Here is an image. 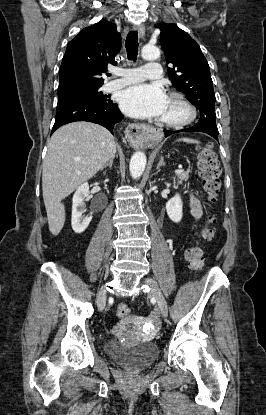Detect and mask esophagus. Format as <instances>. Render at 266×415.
I'll return each mask as SVG.
<instances>
[{
  "label": "esophagus",
  "instance_id": "34e87169",
  "mask_svg": "<svg viewBox=\"0 0 266 415\" xmlns=\"http://www.w3.org/2000/svg\"><path fill=\"white\" fill-rule=\"evenodd\" d=\"M135 29L138 31L140 39L144 38L145 26L143 24L137 25ZM147 126L143 124H130L126 129V137L129 143L133 146H140L145 142V131Z\"/></svg>",
  "mask_w": 266,
  "mask_h": 415
}]
</instances>
